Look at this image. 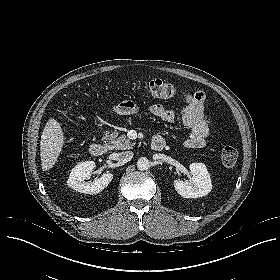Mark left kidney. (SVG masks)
Masks as SVG:
<instances>
[{
  "label": "left kidney",
  "mask_w": 280,
  "mask_h": 280,
  "mask_svg": "<svg viewBox=\"0 0 280 280\" xmlns=\"http://www.w3.org/2000/svg\"><path fill=\"white\" fill-rule=\"evenodd\" d=\"M189 168L192 174L190 181L174 180L177 193L184 198H198L210 193L212 183L205 164L192 163Z\"/></svg>",
  "instance_id": "obj_1"
}]
</instances>
